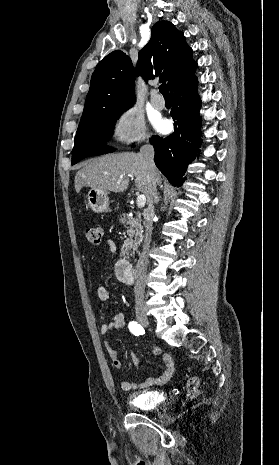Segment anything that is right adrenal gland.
Segmentation results:
<instances>
[{
	"mask_svg": "<svg viewBox=\"0 0 279 465\" xmlns=\"http://www.w3.org/2000/svg\"><path fill=\"white\" fill-rule=\"evenodd\" d=\"M159 200H160L159 193H157L155 196V204H157Z\"/></svg>",
	"mask_w": 279,
	"mask_h": 465,
	"instance_id": "obj_1",
	"label": "right adrenal gland"
}]
</instances>
